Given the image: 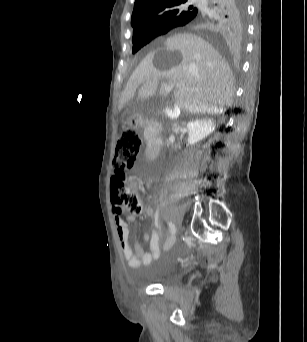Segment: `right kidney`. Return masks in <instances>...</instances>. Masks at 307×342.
<instances>
[{
  "label": "right kidney",
  "mask_w": 307,
  "mask_h": 342,
  "mask_svg": "<svg viewBox=\"0 0 307 342\" xmlns=\"http://www.w3.org/2000/svg\"><path fill=\"white\" fill-rule=\"evenodd\" d=\"M216 126L212 120H192L188 122V144H197L203 138H207L211 132H214ZM169 142H175L174 136H170Z\"/></svg>",
  "instance_id": "ca27d5eb"
}]
</instances>
